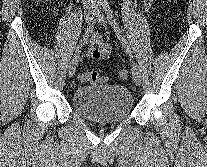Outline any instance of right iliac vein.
Masks as SVG:
<instances>
[{"mask_svg":"<svg viewBox=\"0 0 207 167\" xmlns=\"http://www.w3.org/2000/svg\"><path fill=\"white\" fill-rule=\"evenodd\" d=\"M91 19H92V10L88 9L86 11V23H87V26L90 25ZM77 64H78V55L76 54L73 57V59L71 60L70 64H69V68H68V75H69V77H72L73 74L75 73Z\"/></svg>","mask_w":207,"mask_h":167,"instance_id":"1","label":"right iliac vein"}]
</instances>
